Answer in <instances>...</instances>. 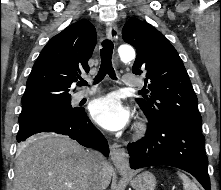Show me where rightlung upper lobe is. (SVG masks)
Here are the masks:
<instances>
[{
    "mask_svg": "<svg viewBox=\"0 0 221 190\" xmlns=\"http://www.w3.org/2000/svg\"><path fill=\"white\" fill-rule=\"evenodd\" d=\"M96 40L95 27L86 19L54 36L33 65L21 100L23 107L71 98L72 83L89 72Z\"/></svg>",
    "mask_w": 221,
    "mask_h": 190,
    "instance_id": "cb5924a9",
    "label": "right lung upper lobe"
}]
</instances>
